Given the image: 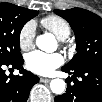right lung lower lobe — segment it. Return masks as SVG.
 <instances>
[{"label":"right lung lower lobe","mask_w":102,"mask_h":102,"mask_svg":"<svg viewBox=\"0 0 102 102\" xmlns=\"http://www.w3.org/2000/svg\"><path fill=\"white\" fill-rule=\"evenodd\" d=\"M24 60L22 57L9 62H0V100L2 102H26L29 92L39 78L29 71L23 69ZM10 66L20 70L21 75H5L4 66Z\"/></svg>","instance_id":"98d812e1"}]
</instances>
